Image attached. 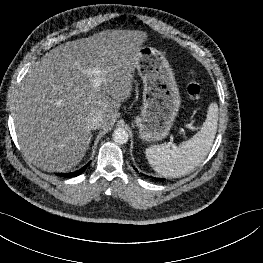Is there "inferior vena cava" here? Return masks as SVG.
<instances>
[{"mask_svg":"<svg viewBox=\"0 0 263 263\" xmlns=\"http://www.w3.org/2000/svg\"><path fill=\"white\" fill-rule=\"evenodd\" d=\"M103 124V118L100 113H92L87 117V128L90 130H95L100 128Z\"/></svg>","mask_w":263,"mask_h":263,"instance_id":"obj_1","label":"inferior vena cava"}]
</instances>
